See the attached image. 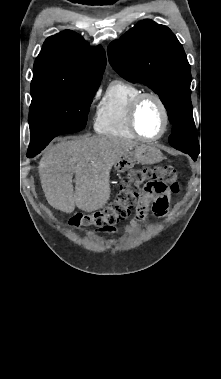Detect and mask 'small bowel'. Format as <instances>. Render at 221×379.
Returning a JSON list of instances; mask_svg holds the SVG:
<instances>
[{
    "instance_id": "obj_1",
    "label": "small bowel",
    "mask_w": 221,
    "mask_h": 379,
    "mask_svg": "<svg viewBox=\"0 0 221 379\" xmlns=\"http://www.w3.org/2000/svg\"><path fill=\"white\" fill-rule=\"evenodd\" d=\"M151 202H153V212L157 217H161L166 213L168 208L169 192L166 191L162 194L146 193L142 196L136 208V218L131 219L125 225V230L128 234L134 233L139 228V222L147 216ZM108 231L111 232L113 229Z\"/></svg>"
}]
</instances>
